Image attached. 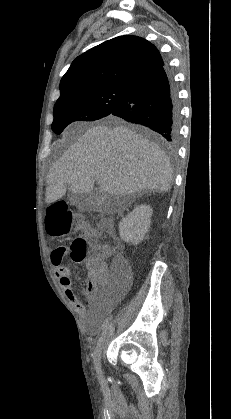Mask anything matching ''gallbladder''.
I'll use <instances>...</instances> for the list:
<instances>
[{
  "label": "gallbladder",
  "instance_id": "gallbladder-1",
  "mask_svg": "<svg viewBox=\"0 0 231 419\" xmlns=\"http://www.w3.org/2000/svg\"><path fill=\"white\" fill-rule=\"evenodd\" d=\"M69 198L73 204L80 207L84 205V201L87 198V195H77V194L71 193L69 194Z\"/></svg>",
  "mask_w": 231,
  "mask_h": 419
}]
</instances>
